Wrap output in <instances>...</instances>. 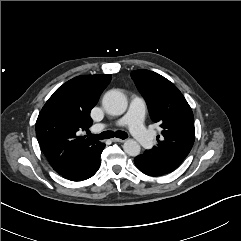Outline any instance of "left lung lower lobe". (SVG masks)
Here are the masks:
<instances>
[{
  "instance_id": "1",
  "label": "left lung lower lobe",
  "mask_w": 241,
  "mask_h": 241,
  "mask_svg": "<svg viewBox=\"0 0 241 241\" xmlns=\"http://www.w3.org/2000/svg\"><path fill=\"white\" fill-rule=\"evenodd\" d=\"M135 165L137 168L143 172L144 174H147L149 176H161L164 174L171 173L175 170V168L162 165V164H156L152 162H147L144 160L142 155L137 156L134 159Z\"/></svg>"
}]
</instances>
